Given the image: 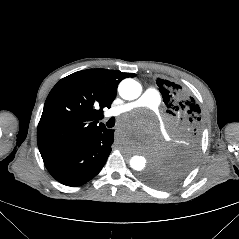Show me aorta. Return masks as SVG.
<instances>
[{
  "label": "aorta",
  "mask_w": 239,
  "mask_h": 239,
  "mask_svg": "<svg viewBox=\"0 0 239 239\" xmlns=\"http://www.w3.org/2000/svg\"><path fill=\"white\" fill-rule=\"evenodd\" d=\"M118 91L123 99L134 100L140 96L142 87L140 83L134 79L127 78L119 84ZM147 161L148 160L144 156L134 155L130 159V166L134 170L141 171L145 168Z\"/></svg>",
  "instance_id": "1"
}]
</instances>
